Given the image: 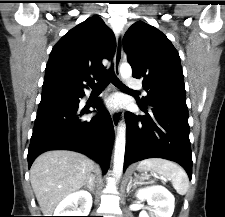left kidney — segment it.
Here are the masks:
<instances>
[{
    "label": "left kidney",
    "mask_w": 225,
    "mask_h": 217,
    "mask_svg": "<svg viewBox=\"0 0 225 217\" xmlns=\"http://www.w3.org/2000/svg\"><path fill=\"white\" fill-rule=\"evenodd\" d=\"M136 197L147 200L152 206L150 212L141 211L139 217H171L174 212L175 198L165 187L157 185L139 189Z\"/></svg>",
    "instance_id": "left-kidney-1"
}]
</instances>
